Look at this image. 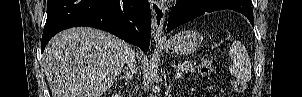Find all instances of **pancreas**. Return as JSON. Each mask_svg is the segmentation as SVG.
Listing matches in <instances>:
<instances>
[{"label": "pancreas", "instance_id": "obj_1", "mask_svg": "<svg viewBox=\"0 0 302 97\" xmlns=\"http://www.w3.org/2000/svg\"><path fill=\"white\" fill-rule=\"evenodd\" d=\"M197 63L191 61H185L179 63L177 69L184 74L193 73L195 71Z\"/></svg>", "mask_w": 302, "mask_h": 97}]
</instances>
